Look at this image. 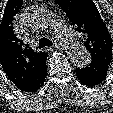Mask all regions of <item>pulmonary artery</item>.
<instances>
[{
	"instance_id": "1",
	"label": "pulmonary artery",
	"mask_w": 113,
	"mask_h": 113,
	"mask_svg": "<svg viewBox=\"0 0 113 113\" xmlns=\"http://www.w3.org/2000/svg\"><path fill=\"white\" fill-rule=\"evenodd\" d=\"M67 37L69 38V40H71V39H72V35H67Z\"/></svg>"
}]
</instances>
